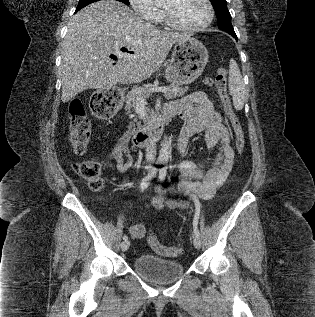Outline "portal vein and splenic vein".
Instances as JSON below:
<instances>
[{"instance_id":"18ae733b","label":"portal vein and splenic vein","mask_w":315,"mask_h":317,"mask_svg":"<svg viewBox=\"0 0 315 317\" xmlns=\"http://www.w3.org/2000/svg\"><path fill=\"white\" fill-rule=\"evenodd\" d=\"M168 91H169L168 88H159V87H157V88H153L152 89V92H163V93H166ZM140 103H142V102H140Z\"/></svg>"}]
</instances>
